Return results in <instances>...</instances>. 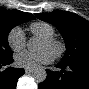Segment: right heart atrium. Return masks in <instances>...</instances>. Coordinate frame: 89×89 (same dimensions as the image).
<instances>
[{
    "label": "right heart atrium",
    "mask_w": 89,
    "mask_h": 89,
    "mask_svg": "<svg viewBox=\"0 0 89 89\" xmlns=\"http://www.w3.org/2000/svg\"><path fill=\"white\" fill-rule=\"evenodd\" d=\"M7 40L10 48L15 52L23 50L26 46L25 34L19 27H15L9 32Z\"/></svg>",
    "instance_id": "right-heart-atrium-1"
}]
</instances>
